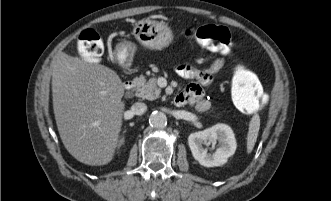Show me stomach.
Wrapping results in <instances>:
<instances>
[{
	"label": "stomach",
	"mask_w": 331,
	"mask_h": 201,
	"mask_svg": "<svg viewBox=\"0 0 331 201\" xmlns=\"http://www.w3.org/2000/svg\"><path fill=\"white\" fill-rule=\"evenodd\" d=\"M132 34L144 47L162 50L173 41V34L165 24L151 19H142L135 23ZM137 50L134 43L122 40L116 47V58L122 66H128Z\"/></svg>",
	"instance_id": "obj_1"
}]
</instances>
